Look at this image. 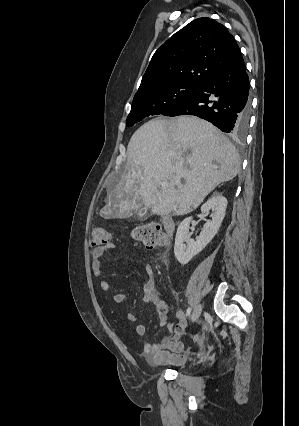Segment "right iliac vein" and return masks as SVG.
<instances>
[{
  "instance_id": "obj_1",
  "label": "right iliac vein",
  "mask_w": 299,
  "mask_h": 426,
  "mask_svg": "<svg viewBox=\"0 0 299 426\" xmlns=\"http://www.w3.org/2000/svg\"><path fill=\"white\" fill-rule=\"evenodd\" d=\"M201 311H202V306H201V304H198V305L194 308V310H193V312H192V314H191V321H192V322L197 321V319L199 318V316H200V314H201Z\"/></svg>"
}]
</instances>
